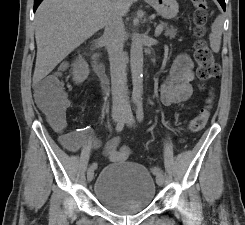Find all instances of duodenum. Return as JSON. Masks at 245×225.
<instances>
[{
	"mask_svg": "<svg viewBox=\"0 0 245 225\" xmlns=\"http://www.w3.org/2000/svg\"><path fill=\"white\" fill-rule=\"evenodd\" d=\"M99 59V53L96 51H93L92 53V69L95 72H98V67H97V60Z\"/></svg>",
	"mask_w": 245,
	"mask_h": 225,
	"instance_id": "duodenum-1",
	"label": "duodenum"
}]
</instances>
